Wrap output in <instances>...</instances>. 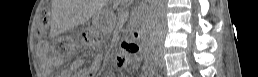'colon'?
I'll return each instance as SVG.
<instances>
[{"label": "colon", "mask_w": 258, "mask_h": 77, "mask_svg": "<svg viewBox=\"0 0 258 77\" xmlns=\"http://www.w3.org/2000/svg\"><path fill=\"white\" fill-rule=\"evenodd\" d=\"M50 25L49 14L47 11L41 12L39 16V22L37 26V34L44 35ZM87 39V36L84 35V39ZM136 42L134 39H128L121 44V52L118 54L117 62L120 65H127L129 63V55L134 51V46Z\"/></svg>", "instance_id": "obj_1"}]
</instances>
